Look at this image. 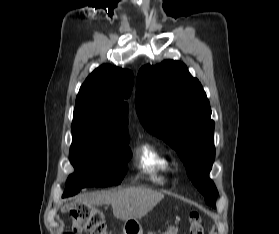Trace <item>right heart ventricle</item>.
Returning a JSON list of instances; mask_svg holds the SVG:
<instances>
[{"label":"right heart ventricle","instance_id":"e07e8e85","mask_svg":"<svg viewBox=\"0 0 279 234\" xmlns=\"http://www.w3.org/2000/svg\"><path fill=\"white\" fill-rule=\"evenodd\" d=\"M137 164L152 181L157 183L165 182L172 170V162L164 151L149 142L138 147Z\"/></svg>","mask_w":279,"mask_h":234}]
</instances>
